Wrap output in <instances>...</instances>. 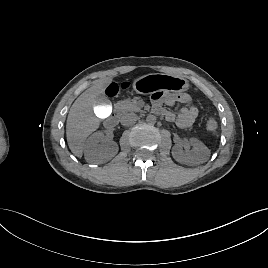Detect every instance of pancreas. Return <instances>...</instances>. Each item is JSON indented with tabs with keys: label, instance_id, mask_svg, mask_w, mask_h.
<instances>
[{
	"label": "pancreas",
	"instance_id": "cf45deb5",
	"mask_svg": "<svg viewBox=\"0 0 268 268\" xmlns=\"http://www.w3.org/2000/svg\"><path fill=\"white\" fill-rule=\"evenodd\" d=\"M144 106V102L139 100L138 98H133V99H126L123 101H119L115 104V108L120 112V113H125V112H138L140 111V108Z\"/></svg>",
	"mask_w": 268,
	"mask_h": 268
}]
</instances>
